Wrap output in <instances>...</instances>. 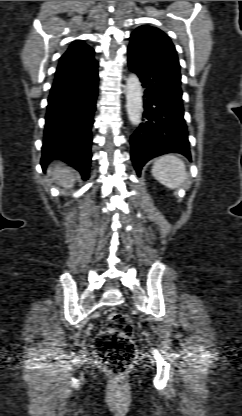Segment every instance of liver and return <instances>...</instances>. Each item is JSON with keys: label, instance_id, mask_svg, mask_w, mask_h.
<instances>
[{"label": "liver", "instance_id": "1", "mask_svg": "<svg viewBox=\"0 0 242 416\" xmlns=\"http://www.w3.org/2000/svg\"><path fill=\"white\" fill-rule=\"evenodd\" d=\"M48 175L51 176L58 185L67 189L73 187L76 180V172L61 162L50 167Z\"/></svg>", "mask_w": 242, "mask_h": 416}]
</instances>
